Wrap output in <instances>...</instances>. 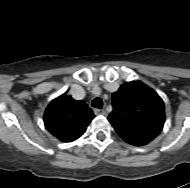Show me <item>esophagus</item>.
<instances>
[{"label":"esophagus","instance_id":"1","mask_svg":"<svg viewBox=\"0 0 190 188\" xmlns=\"http://www.w3.org/2000/svg\"><path fill=\"white\" fill-rule=\"evenodd\" d=\"M95 115H105V110L103 109H94Z\"/></svg>","mask_w":190,"mask_h":188}]
</instances>
